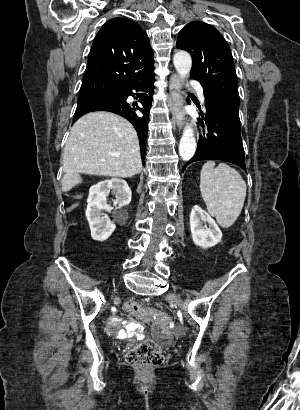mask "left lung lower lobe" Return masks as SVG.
I'll use <instances>...</instances> for the list:
<instances>
[{"label": "left lung lower lobe", "mask_w": 300, "mask_h": 410, "mask_svg": "<svg viewBox=\"0 0 300 410\" xmlns=\"http://www.w3.org/2000/svg\"><path fill=\"white\" fill-rule=\"evenodd\" d=\"M204 97L206 111L200 110L199 119L207 124V138H199L197 151L185 164L183 171L188 164L199 160L228 161L246 171L239 107L205 93Z\"/></svg>", "instance_id": "0a47b994"}]
</instances>
